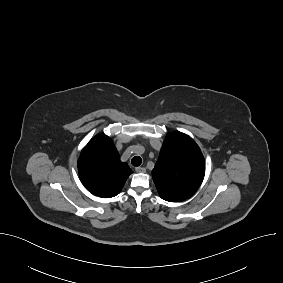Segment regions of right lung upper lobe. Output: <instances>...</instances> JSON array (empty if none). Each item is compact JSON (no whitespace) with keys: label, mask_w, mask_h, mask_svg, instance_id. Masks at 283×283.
<instances>
[{"label":"right lung upper lobe","mask_w":283,"mask_h":283,"mask_svg":"<svg viewBox=\"0 0 283 283\" xmlns=\"http://www.w3.org/2000/svg\"><path fill=\"white\" fill-rule=\"evenodd\" d=\"M78 171L85 188L102 198L116 196L132 173L128 164L120 161L111 139L104 134L95 136L82 150Z\"/></svg>","instance_id":"obj_1"}]
</instances>
